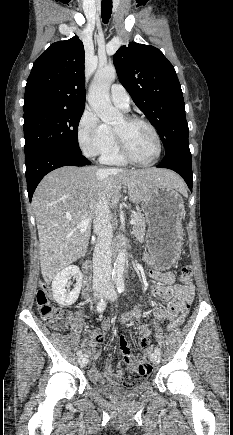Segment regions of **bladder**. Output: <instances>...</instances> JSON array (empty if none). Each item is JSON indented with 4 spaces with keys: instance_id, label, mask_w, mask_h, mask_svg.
Masks as SVG:
<instances>
[{
    "instance_id": "31cf9c89",
    "label": "bladder",
    "mask_w": 233,
    "mask_h": 435,
    "mask_svg": "<svg viewBox=\"0 0 233 435\" xmlns=\"http://www.w3.org/2000/svg\"><path fill=\"white\" fill-rule=\"evenodd\" d=\"M149 387L150 384L147 382L136 383L132 386L119 382H104L97 386V390L107 397L121 400L136 398Z\"/></svg>"
}]
</instances>
